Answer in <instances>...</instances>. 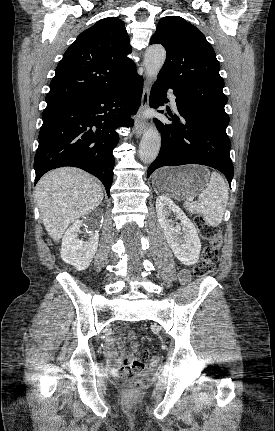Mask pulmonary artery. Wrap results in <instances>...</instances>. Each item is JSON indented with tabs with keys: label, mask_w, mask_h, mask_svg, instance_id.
<instances>
[{
	"label": "pulmonary artery",
	"mask_w": 275,
	"mask_h": 431,
	"mask_svg": "<svg viewBox=\"0 0 275 431\" xmlns=\"http://www.w3.org/2000/svg\"><path fill=\"white\" fill-rule=\"evenodd\" d=\"M169 97H170V102H171L172 107H173L174 109H176V108H177V106H176L175 96H174L172 93H170V94H169Z\"/></svg>",
	"instance_id": "1"
}]
</instances>
